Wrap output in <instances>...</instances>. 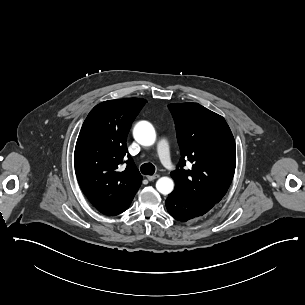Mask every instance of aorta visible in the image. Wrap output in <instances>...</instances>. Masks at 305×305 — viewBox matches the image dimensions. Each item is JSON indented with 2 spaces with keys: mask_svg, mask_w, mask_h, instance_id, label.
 Listing matches in <instances>:
<instances>
[{
  "mask_svg": "<svg viewBox=\"0 0 305 305\" xmlns=\"http://www.w3.org/2000/svg\"><path fill=\"white\" fill-rule=\"evenodd\" d=\"M134 139L143 146H151L155 143L156 132L151 123L138 122L133 130ZM156 189L163 195L170 194L174 189V182L169 177H161L156 182Z\"/></svg>",
  "mask_w": 305,
  "mask_h": 305,
  "instance_id": "aorta-1",
  "label": "aorta"
}]
</instances>
